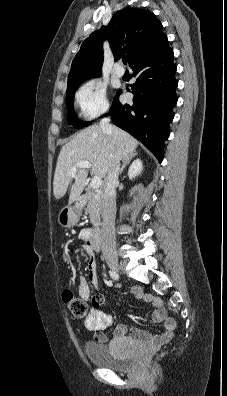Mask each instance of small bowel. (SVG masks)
<instances>
[{"instance_id":"1","label":"small bowel","mask_w":227,"mask_h":396,"mask_svg":"<svg viewBox=\"0 0 227 396\" xmlns=\"http://www.w3.org/2000/svg\"><path fill=\"white\" fill-rule=\"evenodd\" d=\"M80 239L83 241L81 250L88 256V273L87 276H81L78 281V293L81 299L88 300L91 296V287H98V272L97 261L94 253L99 248L93 243L91 239V232L88 229H83L80 232ZM132 294L146 303L154 306L153 320L157 323L163 324L164 331L158 335H151L148 332L138 329L129 328L126 325H119L113 331L112 344H135L149 349H157L161 345L167 343L174 334L176 329V322L174 319L167 316L163 308L162 301L156 297L144 294L141 288L133 287ZM104 305V299L101 295H96L93 298V307L90 313L84 320L85 327L94 333L95 341L105 343L108 337L105 330L113 323V318L108 313L99 310L98 308Z\"/></svg>"}]
</instances>
